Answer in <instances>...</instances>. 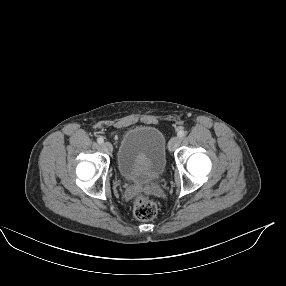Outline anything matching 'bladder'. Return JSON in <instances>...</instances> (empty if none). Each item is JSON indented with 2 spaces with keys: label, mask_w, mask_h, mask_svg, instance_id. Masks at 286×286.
<instances>
[{
  "label": "bladder",
  "mask_w": 286,
  "mask_h": 286,
  "mask_svg": "<svg viewBox=\"0 0 286 286\" xmlns=\"http://www.w3.org/2000/svg\"><path fill=\"white\" fill-rule=\"evenodd\" d=\"M166 163V139L158 128L137 126L123 134L117 167L124 180L149 182L157 179L163 174Z\"/></svg>",
  "instance_id": "31cf9c89"
}]
</instances>
